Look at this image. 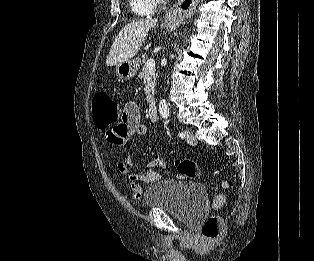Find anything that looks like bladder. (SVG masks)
I'll return each instance as SVG.
<instances>
[{
  "instance_id": "bladder-1",
  "label": "bladder",
  "mask_w": 314,
  "mask_h": 261,
  "mask_svg": "<svg viewBox=\"0 0 314 261\" xmlns=\"http://www.w3.org/2000/svg\"><path fill=\"white\" fill-rule=\"evenodd\" d=\"M207 190L198 182L163 180L150 186L145 195V205L161 209L185 224H196L204 214Z\"/></svg>"
}]
</instances>
